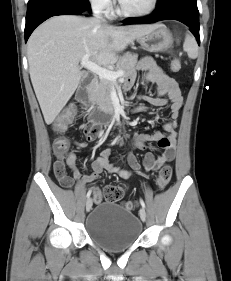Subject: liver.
<instances>
[{
    "label": "liver",
    "instance_id": "obj_1",
    "mask_svg": "<svg viewBox=\"0 0 231 281\" xmlns=\"http://www.w3.org/2000/svg\"><path fill=\"white\" fill-rule=\"evenodd\" d=\"M159 24L113 27L98 18L54 16L27 43L31 82L46 124H51L74 94L84 72L79 62L89 54L98 65L116 63L117 53Z\"/></svg>",
    "mask_w": 231,
    "mask_h": 281
}]
</instances>
